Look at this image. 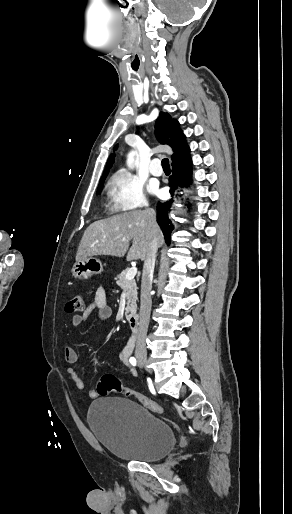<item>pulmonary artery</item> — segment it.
I'll return each instance as SVG.
<instances>
[{
	"instance_id": "e3ab8cb5",
	"label": "pulmonary artery",
	"mask_w": 292,
	"mask_h": 514,
	"mask_svg": "<svg viewBox=\"0 0 292 514\" xmlns=\"http://www.w3.org/2000/svg\"><path fill=\"white\" fill-rule=\"evenodd\" d=\"M158 164H159V159L157 157H152L150 159L149 169L151 170V173L155 176L161 175V172L157 170Z\"/></svg>"
}]
</instances>
